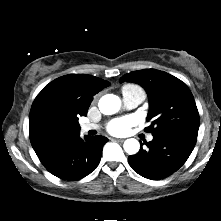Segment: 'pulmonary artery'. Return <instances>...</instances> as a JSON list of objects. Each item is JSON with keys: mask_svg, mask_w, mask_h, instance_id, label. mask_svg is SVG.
Wrapping results in <instances>:
<instances>
[{"mask_svg": "<svg viewBox=\"0 0 221 221\" xmlns=\"http://www.w3.org/2000/svg\"><path fill=\"white\" fill-rule=\"evenodd\" d=\"M122 95H123V103L125 107L128 109L137 107L145 99V93L142 90H133L129 92H124ZM98 128L99 125L94 123H85L81 125V131L83 133H86L90 130H96ZM147 139L148 141H152L153 136L149 135Z\"/></svg>", "mask_w": 221, "mask_h": 221, "instance_id": "pulmonary-artery-1", "label": "pulmonary artery"}]
</instances>
